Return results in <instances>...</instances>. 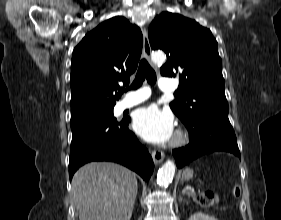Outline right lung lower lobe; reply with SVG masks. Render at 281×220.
I'll return each mask as SVG.
<instances>
[{"instance_id": "obj_1", "label": "right lung lower lobe", "mask_w": 281, "mask_h": 220, "mask_svg": "<svg viewBox=\"0 0 281 220\" xmlns=\"http://www.w3.org/2000/svg\"><path fill=\"white\" fill-rule=\"evenodd\" d=\"M130 118L121 122L100 120L72 129L69 176L91 161H112L137 172L148 181L154 164L147 149L128 129Z\"/></svg>"}]
</instances>
